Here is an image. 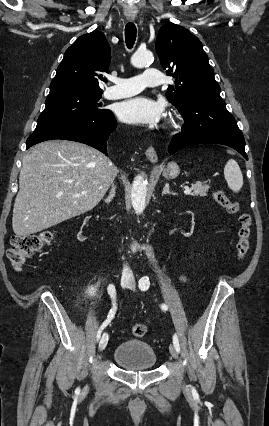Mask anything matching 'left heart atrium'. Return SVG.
Segmentation results:
<instances>
[{"instance_id": "obj_1", "label": "left heart atrium", "mask_w": 269, "mask_h": 426, "mask_svg": "<svg viewBox=\"0 0 269 426\" xmlns=\"http://www.w3.org/2000/svg\"><path fill=\"white\" fill-rule=\"evenodd\" d=\"M163 113L162 103L144 96L125 100L117 107L119 119L133 125H154L161 120Z\"/></svg>"}]
</instances>
